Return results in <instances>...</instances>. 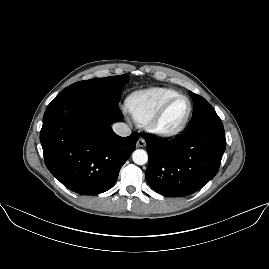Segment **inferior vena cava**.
<instances>
[{
	"label": "inferior vena cava",
	"mask_w": 269,
	"mask_h": 269,
	"mask_svg": "<svg viewBox=\"0 0 269 269\" xmlns=\"http://www.w3.org/2000/svg\"><path fill=\"white\" fill-rule=\"evenodd\" d=\"M114 132L122 137H127L131 134L130 128L124 123H116L113 125Z\"/></svg>",
	"instance_id": "obj_1"
}]
</instances>
